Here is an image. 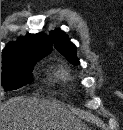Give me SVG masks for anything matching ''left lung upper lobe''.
Returning a JSON list of instances; mask_svg holds the SVG:
<instances>
[{
    "mask_svg": "<svg viewBox=\"0 0 123 130\" xmlns=\"http://www.w3.org/2000/svg\"><path fill=\"white\" fill-rule=\"evenodd\" d=\"M50 35L59 52L64 55L71 64L78 65L79 60L76 56V47L70 42L69 37L60 29L50 32Z\"/></svg>",
    "mask_w": 123,
    "mask_h": 130,
    "instance_id": "obj_1",
    "label": "left lung upper lobe"
}]
</instances>
